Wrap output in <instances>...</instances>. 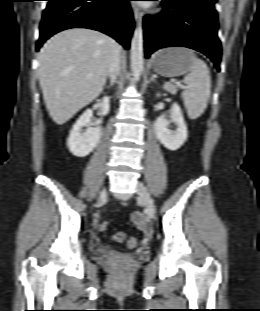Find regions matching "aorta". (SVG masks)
I'll return each mask as SVG.
<instances>
[{"mask_svg": "<svg viewBox=\"0 0 260 311\" xmlns=\"http://www.w3.org/2000/svg\"><path fill=\"white\" fill-rule=\"evenodd\" d=\"M143 34L141 26L136 27L131 41V71L135 81H138L143 73Z\"/></svg>", "mask_w": 260, "mask_h": 311, "instance_id": "1", "label": "aorta"}]
</instances>
